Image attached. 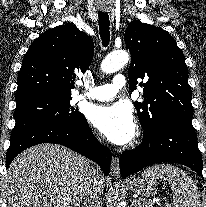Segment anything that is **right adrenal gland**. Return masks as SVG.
Segmentation results:
<instances>
[{
  "mask_svg": "<svg viewBox=\"0 0 206 207\" xmlns=\"http://www.w3.org/2000/svg\"><path fill=\"white\" fill-rule=\"evenodd\" d=\"M83 207H88V204L86 202H84Z\"/></svg>",
  "mask_w": 206,
  "mask_h": 207,
  "instance_id": "obj_1",
  "label": "right adrenal gland"
}]
</instances>
